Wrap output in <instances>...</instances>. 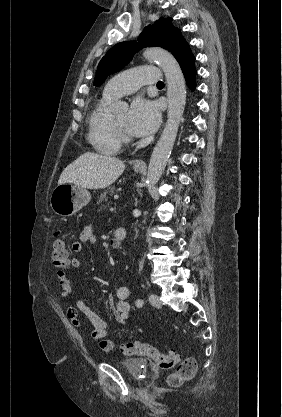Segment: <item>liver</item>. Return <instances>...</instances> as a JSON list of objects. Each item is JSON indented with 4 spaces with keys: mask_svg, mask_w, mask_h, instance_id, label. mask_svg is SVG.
<instances>
[{
    "mask_svg": "<svg viewBox=\"0 0 282 417\" xmlns=\"http://www.w3.org/2000/svg\"><path fill=\"white\" fill-rule=\"evenodd\" d=\"M124 168L123 160L115 156L84 152L64 168L58 184L73 182L82 188H106L117 180Z\"/></svg>",
    "mask_w": 282,
    "mask_h": 417,
    "instance_id": "1",
    "label": "liver"
}]
</instances>
